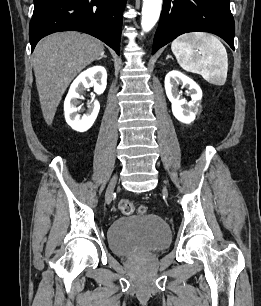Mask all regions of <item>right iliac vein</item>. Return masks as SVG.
Wrapping results in <instances>:
<instances>
[{"mask_svg": "<svg viewBox=\"0 0 261 306\" xmlns=\"http://www.w3.org/2000/svg\"><path fill=\"white\" fill-rule=\"evenodd\" d=\"M116 182H117V176H114L112 178V180L110 181L109 185H108V188H107V191H106V200H110L111 197H112V193H113V190L115 188V185H116Z\"/></svg>", "mask_w": 261, "mask_h": 306, "instance_id": "obj_1", "label": "right iliac vein"}]
</instances>
